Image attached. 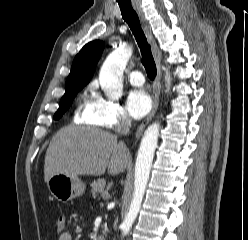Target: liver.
Returning <instances> with one entry per match:
<instances>
[{"label":"liver","mask_w":248,"mask_h":240,"mask_svg":"<svg viewBox=\"0 0 248 240\" xmlns=\"http://www.w3.org/2000/svg\"><path fill=\"white\" fill-rule=\"evenodd\" d=\"M131 162V155L117 136L94 127L70 125L60 129L47 149L44 177L63 173L99 176L123 172Z\"/></svg>","instance_id":"6515ba94"}]
</instances>
